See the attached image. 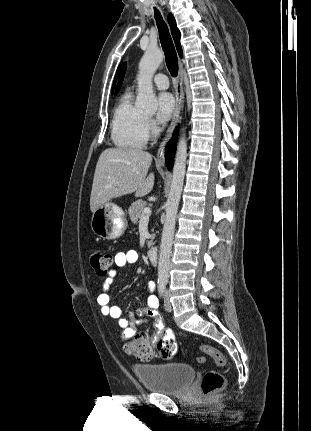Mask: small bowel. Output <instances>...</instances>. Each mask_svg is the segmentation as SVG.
I'll list each match as a JSON object with an SVG mask.
<instances>
[{"label": "small bowel", "mask_w": 311, "mask_h": 431, "mask_svg": "<svg viewBox=\"0 0 311 431\" xmlns=\"http://www.w3.org/2000/svg\"><path fill=\"white\" fill-rule=\"evenodd\" d=\"M139 255L136 250H127L118 252L114 257V268L107 274L105 283L97 296V303L100 306L101 313L118 320L119 326L123 329L122 338L128 339L135 334V326L146 322L148 319L153 320L156 329V335L152 340H156L157 336L164 331V323L160 313L158 312L159 300L153 294L155 284L152 281L147 283V290L150 293L144 307L138 308L135 311L125 313L120 307L110 305V296L108 294L109 286L116 280L119 275V270L127 265L138 262ZM141 335L148 338V335ZM164 337L174 338L171 330L164 331Z\"/></svg>", "instance_id": "1"}]
</instances>
